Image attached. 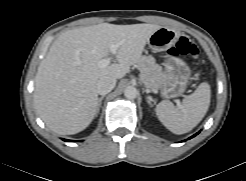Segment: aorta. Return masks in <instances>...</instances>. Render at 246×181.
<instances>
[{
	"label": "aorta",
	"mask_w": 246,
	"mask_h": 181,
	"mask_svg": "<svg viewBox=\"0 0 246 181\" xmlns=\"http://www.w3.org/2000/svg\"><path fill=\"white\" fill-rule=\"evenodd\" d=\"M124 96L127 99H135L138 96V90L134 86H128L124 90Z\"/></svg>",
	"instance_id": "obj_1"
}]
</instances>
